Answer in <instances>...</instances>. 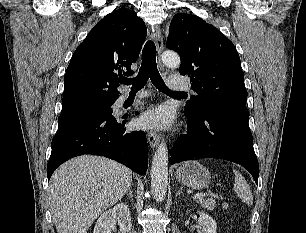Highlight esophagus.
<instances>
[{"label":"esophagus","mask_w":306,"mask_h":233,"mask_svg":"<svg viewBox=\"0 0 306 233\" xmlns=\"http://www.w3.org/2000/svg\"><path fill=\"white\" fill-rule=\"evenodd\" d=\"M152 39L155 42L156 48H157V52L159 54V66L161 68V70L164 71V66L161 63V59H160V55L161 52L163 50V39H162V35H161V31H160V27L158 25H156L154 27V33L152 35ZM147 138H148V142L150 144V147L152 149L156 148L157 145L160 142V135L153 132V131H149L147 134Z\"/></svg>","instance_id":"obj_1"}]
</instances>
